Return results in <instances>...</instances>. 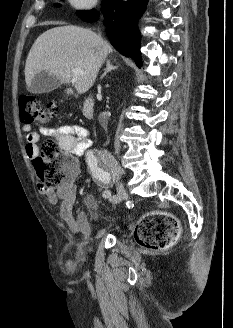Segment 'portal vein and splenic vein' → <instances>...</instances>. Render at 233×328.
<instances>
[{
	"instance_id": "obj_1",
	"label": "portal vein and splenic vein",
	"mask_w": 233,
	"mask_h": 328,
	"mask_svg": "<svg viewBox=\"0 0 233 328\" xmlns=\"http://www.w3.org/2000/svg\"><path fill=\"white\" fill-rule=\"evenodd\" d=\"M72 72L74 73V75H80L83 74V71L81 68H73Z\"/></svg>"
}]
</instances>
